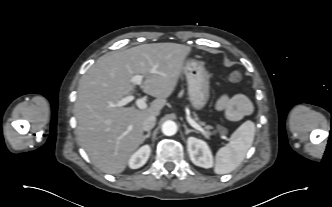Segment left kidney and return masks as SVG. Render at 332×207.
I'll return each mask as SVG.
<instances>
[{"label": "left kidney", "instance_id": "5707ae66", "mask_svg": "<svg viewBox=\"0 0 332 207\" xmlns=\"http://www.w3.org/2000/svg\"><path fill=\"white\" fill-rule=\"evenodd\" d=\"M187 150L191 161L203 168L213 166V156L207 143L195 137H189L187 140Z\"/></svg>", "mask_w": 332, "mask_h": 207}]
</instances>
